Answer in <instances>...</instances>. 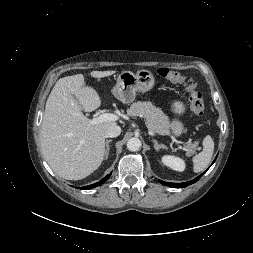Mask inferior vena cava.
I'll return each instance as SVG.
<instances>
[{
	"instance_id": "602c4592",
	"label": "inferior vena cava",
	"mask_w": 253,
	"mask_h": 253,
	"mask_svg": "<svg viewBox=\"0 0 253 253\" xmlns=\"http://www.w3.org/2000/svg\"><path fill=\"white\" fill-rule=\"evenodd\" d=\"M120 133H121L120 126L114 124V125L109 126L106 129V131H105V137H107V138H114V137L119 136Z\"/></svg>"
}]
</instances>
